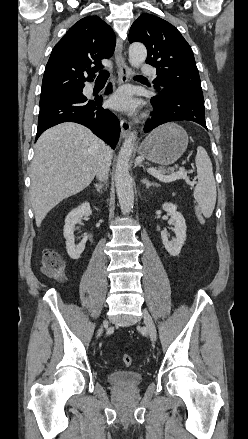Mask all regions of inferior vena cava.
I'll return each mask as SVG.
<instances>
[{"mask_svg": "<svg viewBox=\"0 0 248 439\" xmlns=\"http://www.w3.org/2000/svg\"><path fill=\"white\" fill-rule=\"evenodd\" d=\"M111 159L112 151L109 147H107L96 171V177L99 181H106L108 179Z\"/></svg>", "mask_w": 248, "mask_h": 439, "instance_id": "obj_1", "label": "inferior vena cava"}]
</instances>
